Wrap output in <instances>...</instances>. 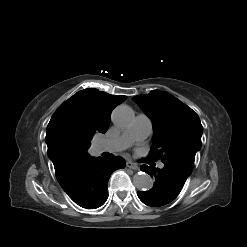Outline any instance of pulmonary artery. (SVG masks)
Listing matches in <instances>:
<instances>
[{
    "mask_svg": "<svg viewBox=\"0 0 247 247\" xmlns=\"http://www.w3.org/2000/svg\"><path fill=\"white\" fill-rule=\"evenodd\" d=\"M152 131L151 119L145 114H138L132 125L119 137L110 139L100 144L102 152H118L126 149L134 142L144 141ZM158 167L162 169L164 164L160 162Z\"/></svg>",
    "mask_w": 247,
    "mask_h": 247,
    "instance_id": "pulmonary-artery-1",
    "label": "pulmonary artery"
}]
</instances>
